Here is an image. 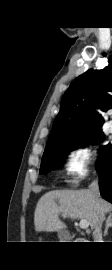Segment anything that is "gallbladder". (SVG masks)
Masks as SVG:
<instances>
[{
  "instance_id": "obj_1",
  "label": "gallbladder",
  "mask_w": 112,
  "mask_h": 270,
  "mask_svg": "<svg viewBox=\"0 0 112 270\" xmlns=\"http://www.w3.org/2000/svg\"><path fill=\"white\" fill-rule=\"evenodd\" d=\"M58 237L60 240H69L72 239L71 235L69 233H67L66 231H61L58 234Z\"/></svg>"
}]
</instances>
